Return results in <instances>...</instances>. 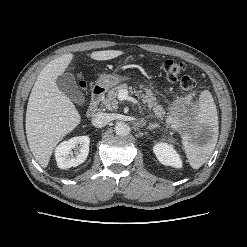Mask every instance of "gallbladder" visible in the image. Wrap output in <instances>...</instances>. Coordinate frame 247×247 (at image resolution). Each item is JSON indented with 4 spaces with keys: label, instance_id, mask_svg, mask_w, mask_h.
Masks as SVG:
<instances>
[{
    "label": "gallbladder",
    "instance_id": "bac80fb5",
    "mask_svg": "<svg viewBox=\"0 0 247 247\" xmlns=\"http://www.w3.org/2000/svg\"><path fill=\"white\" fill-rule=\"evenodd\" d=\"M56 85L62 93L70 98L77 105H84L86 100L84 94L79 89L75 77L69 72H65L56 78Z\"/></svg>",
    "mask_w": 247,
    "mask_h": 247
}]
</instances>
